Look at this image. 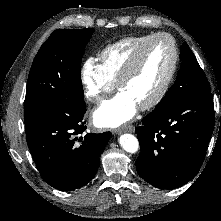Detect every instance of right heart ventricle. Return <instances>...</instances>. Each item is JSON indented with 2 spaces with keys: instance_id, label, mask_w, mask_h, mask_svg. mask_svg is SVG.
<instances>
[{
  "instance_id": "1",
  "label": "right heart ventricle",
  "mask_w": 221,
  "mask_h": 221,
  "mask_svg": "<svg viewBox=\"0 0 221 221\" xmlns=\"http://www.w3.org/2000/svg\"><path fill=\"white\" fill-rule=\"evenodd\" d=\"M150 36L151 34L126 37L107 45L100 52V66L113 83L117 82L132 54Z\"/></svg>"
}]
</instances>
